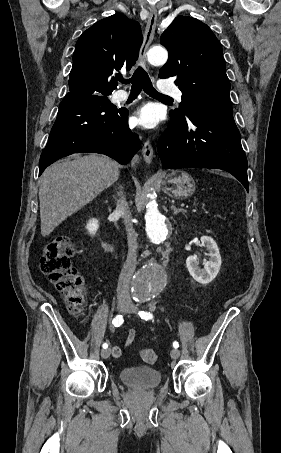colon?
Segmentation results:
<instances>
[{
    "mask_svg": "<svg viewBox=\"0 0 281 453\" xmlns=\"http://www.w3.org/2000/svg\"><path fill=\"white\" fill-rule=\"evenodd\" d=\"M41 269L49 274L66 297L70 308L77 313L87 310L85 303V285L77 269L70 260L78 255V250L67 238H57L43 244ZM140 358L144 363H157L159 356L151 349H141Z\"/></svg>",
    "mask_w": 281,
    "mask_h": 453,
    "instance_id": "5ec220e1",
    "label": "colon"
}]
</instances>
